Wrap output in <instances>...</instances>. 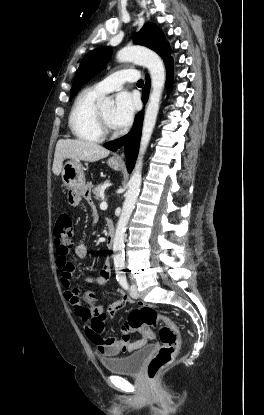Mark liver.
Listing matches in <instances>:
<instances>
[{"mask_svg": "<svg viewBox=\"0 0 264 415\" xmlns=\"http://www.w3.org/2000/svg\"><path fill=\"white\" fill-rule=\"evenodd\" d=\"M110 151L93 142L78 139H60L56 144L53 173L58 176L63 169L65 159L95 162L107 157Z\"/></svg>", "mask_w": 264, "mask_h": 415, "instance_id": "liver-1", "label": "liver"}]
</instances>
